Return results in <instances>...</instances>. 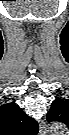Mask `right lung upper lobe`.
Returning a JSON list of instances; mask_svg holds the SVG:
<instances>
[{
  "label": "right lung upper lobe",
  "instance_id": "1",
  "mask_svg": "<svg viewBox=\"0 0 69 135\" xmlns=\"http://www.w3.org/2000/svg\"><path fill=\"white\" fill-rule=\"evenodd\" d=\"M0 123L3 135H31L38 131L35 119L25 114L14 103L4 104L0 107Z\"/></svg>",
  "mask_w": 69,
  "mask_h": 135
}]
</instances>
